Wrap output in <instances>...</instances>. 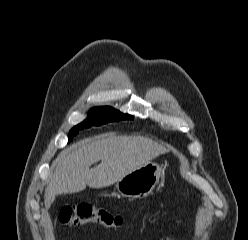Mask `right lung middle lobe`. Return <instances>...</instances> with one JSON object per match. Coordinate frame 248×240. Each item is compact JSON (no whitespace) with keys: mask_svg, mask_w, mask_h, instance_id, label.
Instances as JSON below:
<instances>
[{"mask_svg":"<svg viewBox=\"0 0 248 240\" xmlns=\"http://www.w3.org/2000/svg\"><path fill=\"white\" fill-rule=\"evenodd\" d=\"M133 119V116L122 114L121 112L115 110L111 107H94L89 112V117L82 123L74 126L68 135L69 141L73 139L75 135L78 134L80 129L89 128L93 125L99 126L108 122Z\"/></svg>","mask_w":248,"mask_h":240,"instance_id":"right-lung-middle-lobe-1","label":"right lung middle lobe"}]
</instances>
